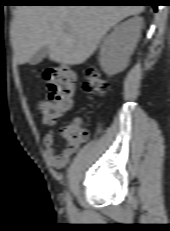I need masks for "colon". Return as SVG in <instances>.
Returning a JSON list of instances; mask_svg holds the SVG:
<instances>
[{
    "instance_id": "1",
    "label": "colon",
    "mask_w": 170,
    "mask_h": 231,
    "mask_svg": "<svg viewBox=\"0 0 170 231\" xmlns=\"http://www.w3.org/2000/svg\"><path fill=\"white\" fill-rule=\"evenodd\" d=\"M48 84V98L38 105V110L45 124H53L73 106L75 94V74L67 66L50 68L45 72ZM83 91L87 95L105 96L109 91L106 80L97 68L88 66L85 69ZM62 134L67 148L76 149L85 142L89 133L79 124H70L63 128Z\"/></svg>"
}]
</instances>
